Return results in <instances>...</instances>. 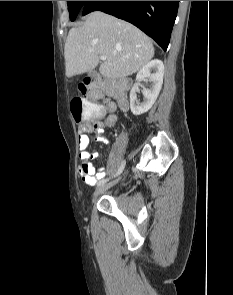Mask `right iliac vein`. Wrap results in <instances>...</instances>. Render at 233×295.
<instances>
[{"label":"right iliac vein","instance_id":"right-iliac-vein-1","mask_svg":"<svg viewBox=\"0 0 233 295\" xmlns=\"http://www.w3.org/2000/svg\"><path fill=\"white\" fill-rule=\"evenodd\" d=\"M119 178L118 179H115L113 181H108L107 179H102L100 180L98 183H97V187L94 191V194L93 196H97L101 193H103L104 191H106L108 188H110L111 186H113L114 184H116L118 182Z\"/></svg>","mask_w":233,"mask_h":295}]
</instances>
